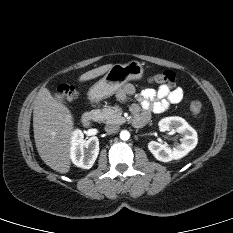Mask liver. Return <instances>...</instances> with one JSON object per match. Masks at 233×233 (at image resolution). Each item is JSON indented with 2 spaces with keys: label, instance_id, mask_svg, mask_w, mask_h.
<instances>
[{
  "label": "liver",
  "instance_id": "1",
  "mask_svg": "<svg viewBox=\"0 0 233 233\" xmlns=\"http://www.w3.org/2000/svg\"><path fill=\"white\" fill-rule=\"evenodd\" d=\"M112 66L107 64L92 69L82 74L78 80L84 82L94 79L106 73ZM33 128L36 148L44 163L61 174L68 173L71 166L73 116L45 87L39 90L34 101Z\"/></svg>",
  "mask_w": 233,
  "mask_h": 233
}]
</instances>
